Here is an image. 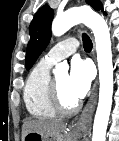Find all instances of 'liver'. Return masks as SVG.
<instances>
[{"instance_id": "obj_1", "label": "liver", "mask_w": 119, "mask_h": 141, "mask_svg": "<svg viewBox=\"0 0 119 141\" xmlns=\"http://www.w3.org/2000/svg\"><path fill=\"white\" fill-rule=\"evenodd\" d=\"M66 127V123L58 120L28 119L23 123L22 141L25 135L32 131H37L43 134H58L65 132Z\"/></svg>"}]
</instances>
